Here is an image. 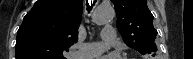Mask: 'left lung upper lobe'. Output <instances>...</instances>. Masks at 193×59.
<instances>
[{
    "mask_svg": "<svg viewBox=\"0 0 193 59\" xmlns=\"http://www.w3.org/2000/svg\"><path fill=\"white\" fill-rule=\"evenodd\" d=\"M111 1L117 13L116 26L124 42L143 55L156 52L154 40L157 31L153 27V15L146 0Z\"/></svg>",
    "mask_w": 193,
    "mask_h": 59,
    "instance_id": "1",
    "label": "left lung upper lobe"
}]
</instances>
